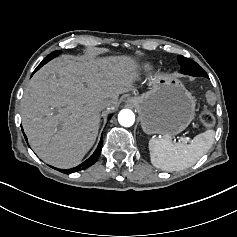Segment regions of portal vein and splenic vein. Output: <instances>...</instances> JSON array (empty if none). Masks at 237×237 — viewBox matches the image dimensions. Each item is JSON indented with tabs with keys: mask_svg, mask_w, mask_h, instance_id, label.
I'll return each mask as SVG.
<instances>
[{
	"mask_svg": "<svg viewBox=\"0 0 237 237\" xmlns=\"http://www.w3.org/2000/svg\"><path fill=\"white\" fill-rule=\"evenodd\" d=\"M179 138H182L181 141L184 142V143H186V144L189 142V139H188V137H186V136H185V137H182V135H179Z\"/></svg>",
	"mask_w": 237,
	"mask_h": 237,
	"instance_id": "18ae733b",
	"label": "portal vein and splenic vein"
}]
</instances>
